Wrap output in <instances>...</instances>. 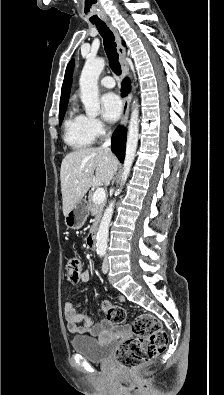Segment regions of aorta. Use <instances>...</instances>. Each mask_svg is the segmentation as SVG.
<instances>
[{
  "label": "aorta",
  "mask_w": 224,
  "mask_h": 395,
  "mask_svg": "<svg viewBox=\"0 0 224 395\" xmlns=\"http://www.w3.org/2000/svg\"><path fill=\"white\" fill-rule=\"evenodd\" d=\"M105 67V60L103 58L88 59L85 62L81 76H80V92L81 101L84 105L85 112L88 116L96 117L99 114L100 103L98 96V78ZM139 140V111L138 105L135 104L131 113L130 122L128 126L127 142H126V154L123 165V171L121 175L120 188L117 193L120 194L122 187L125 184L132 163L135 158V153ZM115 200L109 203V206L105 210L104 216L100 223L97 232V251L106 252L108 247V235L109 226L114 211Z\"/></svg>",
  "instance_id": "obj_1"
}]
</instances>
